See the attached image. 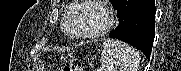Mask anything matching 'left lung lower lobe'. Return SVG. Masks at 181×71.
Here are the masks:
<instances>
[{
  "label": "left lung lower lobe",
  "instance_id": "obj_1",
  "mask_svg": "<svg viewBox=\"0 0 181 71\" xmlns=\"http://www.w3.org/2000/svg\"><path fill=\"white\" fill-rule=\"evenodd\" d=\"M119 25L109 36L127 42L150 59L155 36V0H117Z\"/></svg>",
  "mask_w": 181,
  "mask_h": 71
}]
</instances>
